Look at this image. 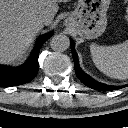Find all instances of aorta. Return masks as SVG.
Here are the masks:
<instances>
[{"label":"aorta","mask_w":128,"mask_h":128,"mask_svg":"<svg viewBox=\"0 0 128 128\" xmlns=\"http://www.w3.org/2000/svg\"><path fill=\"white\" fill-rule=\"evenodd\" d=\"M70 45L69 38L62 34L54 35L50 40V47L57 52H63L68 49Z\"/></svg>","instance_id":"1"}]
</instances>
